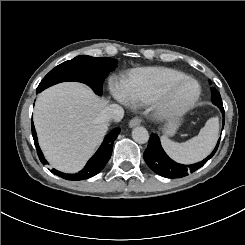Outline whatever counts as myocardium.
Segmentation results:
<instances>
[{"instance_id": "1", "label": "myocardium", "mask_w": 245, "mask_h": 245, "mask_svg": "<svg viewBox=\"0 0 245 245\" xmlns=\"http://www.w3.org/2000/svg\"><path fill=\"white\" fill-rule=\"evenodd\" d=\"M186 82H191L195 85L196 91L194 97L182 104L172 103L169 99V95L171 91ZM201 94V88L199 83L190 77H185L182 79H177L173 81H168L162 83L152 94L150 98V102L152 104L153 109L163 117H173L180 116L187 111H189L195 103L198 101Z\"/></svg>"}]
</instances>
